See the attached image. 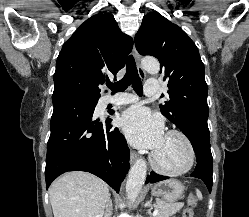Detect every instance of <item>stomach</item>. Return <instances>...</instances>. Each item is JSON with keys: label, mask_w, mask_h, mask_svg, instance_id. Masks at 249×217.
Listing matches in <instances>:
<instances>
[{"label": "stomach", "mask_w": 249, "mask_h": 217, "mask_svg": "<svg viewBox=\"0 0 249 217\" xmlns=\"http://www.w3.org/2000/svg\"><path fill=\"white\" fill-rule=\"evenodd\" d=\"M184 186L176 179H168L152 186L151 194L162 198L166 203L172 204L181 198Z\"/></svg>", "instance_id": "stomach-1"}]
</instances>
